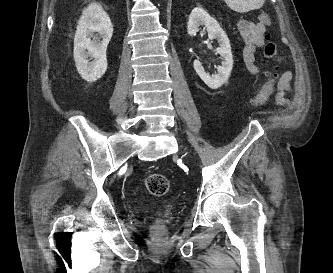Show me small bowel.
Wrapping results in <instances>:
<instances>
[{"label": "small bowel", "mask_w": 333, "mask_h": 273, "mask_svg": "<svg viewBox=\"0 0 333 273\" xmlns=\"http://www.w3.org/2000/svg\"><path fill=\"white\" fill-rule=\"evenodd\" d=\"M238 29L245 42L243 50V61L248 71L256 75L259 73V66L255 62V55L258 48L264 44L266 26L261 22H247L239 21ZM292 80V73L290 71L284 72L277 85V102L280 104L287 103L286 94L290 89Z\"/></svg>", "instance_id": "obj_1"}]
</instances>
